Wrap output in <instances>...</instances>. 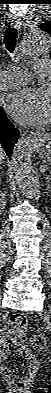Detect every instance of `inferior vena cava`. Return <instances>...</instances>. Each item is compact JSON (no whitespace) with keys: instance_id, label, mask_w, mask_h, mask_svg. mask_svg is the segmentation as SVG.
I'll return each instance as SVG.
<instances>
[{"instance_id":"obj_1","label":"inferior vena cava","mask_w":51,"mask_h":393,"mask_svg":"<svg viewBox=\"0 0 51 393\" xmlns=\"http://www.w3.org/2000/svg\"><path fill=\"white\" fill-rule=\"evenodd\" d=\"M0 156H2V153H0ZM1 160H4V157H1Z\"/></svg>"}]
</instances>
